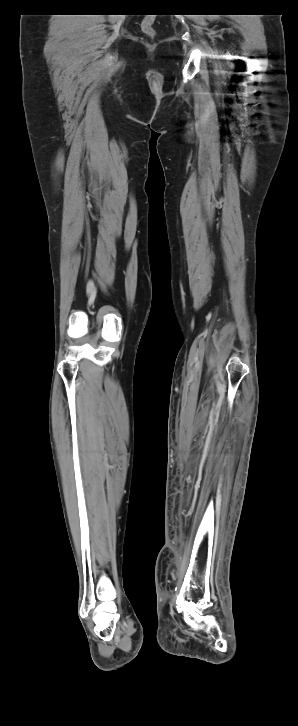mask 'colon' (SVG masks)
<instances>
[{"label":"colon","instance_id":"1","mask_svg":"<svg viewBox=\"0 0 298 726\" xmlns=\"http://www.w3.org/2000/svg\"><path fill=\"white\" fill-rule=\"evenodd\" d=\"M153 24H154V19L152 17H147V18L143 19V21L141 22V29H142L143 33H145L146 35H148L150 37H154L156 32L153 27Z\"/></svg>","mask_w":298,"mask_h":726}]
</instances>
